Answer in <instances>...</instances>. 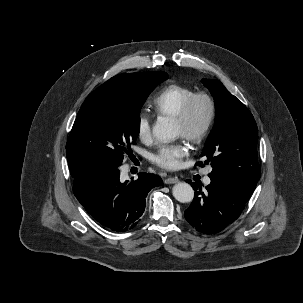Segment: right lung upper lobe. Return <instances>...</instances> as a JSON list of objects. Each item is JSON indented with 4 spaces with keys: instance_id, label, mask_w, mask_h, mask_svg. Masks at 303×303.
<instances>
[{
    "instance_id": "cb5924a9",
    "label": "right lung upper lobe",
    "mask_w": 303,
    "mask_h": 303,
    "mask_svg": "<svg viewBox=\"0 0 303 303\" xmlns=\"http://www.w3.org/2000/svg\"><path fill=\"white\" fill-rule=\"evenodd\" d=\"M152 73L153 72L121 74L113 78L126 85L138 87L143 85Z\"/></svg>"
}]
</instances>
